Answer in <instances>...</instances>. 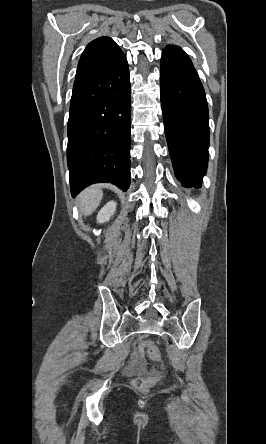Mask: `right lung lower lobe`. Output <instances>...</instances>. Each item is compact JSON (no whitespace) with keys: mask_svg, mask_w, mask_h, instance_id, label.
Listing matches in <instances>:
<instances>
[{"mask_svg":"<svg viewBox=\"0 0 266 444\" xmlns=\"http://www.w3.org/2000/svg\"><path fill=\"white\" fill-rule=\"evenodd\" d=\"M131 90L126 56L72 93L67 163L75 197L85 187L110 182L130 185Z\"/></svg>","mask_w":266,"mask_h":444,"instance_id":"right-lung-lower-lobe-1","label":"right lung lower lobe"}]
</instances>
